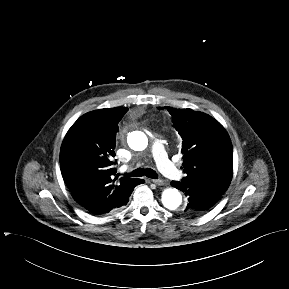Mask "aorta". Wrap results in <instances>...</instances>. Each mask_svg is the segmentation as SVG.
<instances>
[{"instance_id":"1","label":"aorta","mask_w":289,"mask_h":289,"mask_svg":"<svg viewBox=\"0 0 289 289\" xmlns=\"http://www.w3.org/2000/svg\"><path fill=\"white\" fill-rule=\"evenodd\" d=\"M128 145L135 151H142L147 147L148 139L143 132H133L128 136ZM162 204L168 210H177L182 204V195L175 188L165 189L161 196Z\"/></svg>"}]
</instances>
